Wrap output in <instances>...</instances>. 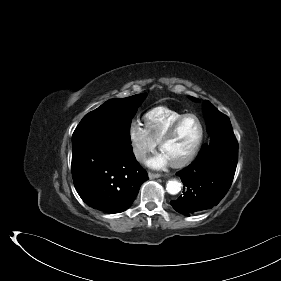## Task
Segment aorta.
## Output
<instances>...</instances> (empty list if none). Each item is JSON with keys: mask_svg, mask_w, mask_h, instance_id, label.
Here are the masks:
<instances>
[{"mask_svg": "<svg viewBox=\"0 0 281 281\" xmlns=\"http://www.w3.org/2000/svg\"><path fill=\"white\" fill-rule=\"evenodd\" d=\"M166 190L171 195H176L181 190V183L177 180H170L167 183Z\"/></svg>", "mask_w": 281, "mask_h": 281, "instance_id": "1", "label": "aorta"}]
</instances>
